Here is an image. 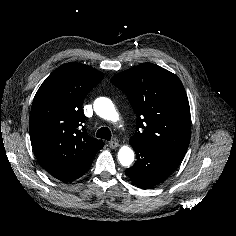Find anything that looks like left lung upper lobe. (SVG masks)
Returning <instances> with one entry per match:
<instances>
[{
	"label": "left lung upper lobe",
	"instance_id": "obj_1",
	"mask_svg": "<svg viewBox=\"0 0 236 236\" xmlns=\"http://www.w3.org/2000/svg\"><path fill=\"white\" fill-rule=\"evenodd\" d=\"M111 82L126 94L137 116L130 143L183 158L191 137V117L180 79L156 64L143 63L116 74Z\"/></svg>",
	"mask_w": 236,
	"mask_h": 236
}]
</instances>
